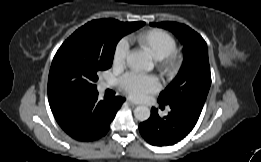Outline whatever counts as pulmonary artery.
Wrapping results in <instances>:
<instances>
[{
  "mask_svg": "<svg viewBox=\"0 0 261 162\" xmlns=\"http://www.w3.org/2000/svg\"><path fill=\"white\" fill-rule=\"evenodd\" d=\"M107 87V85H104V88H106Z\"/></svg>",
  "mask_w": 261,
  "mask_h": 162,
  "instance_id": "e3ab8cb5",
  "label": "pulmonary artery"
}]
</instances>
